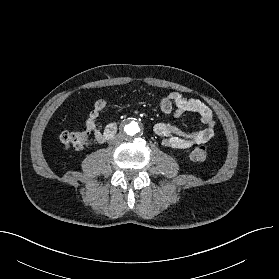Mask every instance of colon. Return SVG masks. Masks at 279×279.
<instances>
[{"mask_svg":"<svg viewBox=\"0 0 279 279\" xmlns=\"http://www.w3.org/2000/svg\"><path fill=\"white\" fill-rule=\"evenodd\" d=\"M60 140L66 148L84 149L90 143V131L84 128L78 131H64L60 135ZM208 151L205 146H198L191 152L192 160L203 162L207 159Z\"/></svg>","mask_w":279,"mask_h":279,"instance_id":"colon-1","label":"colon"}]
</instances>
